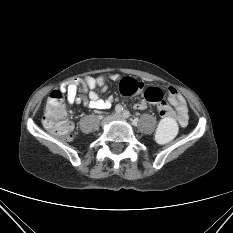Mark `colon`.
Segmentation results:
<instances>
[{
  "instance_id": "5ec220e1",
  "label": "colon",
  "mask_w": 233,
  "mask_h": 233,
  "mask_svg": "<svg viewBox=\"0 0 233 233\" xmlns=\"http://www.w3.org/2000/svg\"><path fill=\"white\" fill-rule=\"evenodd\" d=\"M142 89V84L132 78H125L120 83V91L123 95H133ZM143 98L152 103H160V115L162 120L156 130V140L160 144L171 142L177 133V122L172 110L164 105V93L157 87H149L143 93ZM44 126L56 135L70 139L72 136V123L67 117L62 93L54 90L46 103L43 117Z\"/></svg>"
}]
</instances>
